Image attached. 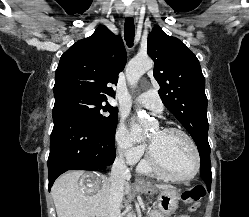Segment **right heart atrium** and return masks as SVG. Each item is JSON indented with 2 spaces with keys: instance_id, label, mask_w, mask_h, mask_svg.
<instances>
[{
  "instance_id": "d8ad5b80",
  "label": "right heart atrium",
  "mask_w": 249,
  "mask_h": 217,
  "mask_svg": "<svg viewBox=\"0 0 249 217\" xmlns=\"http://www.w3.org/2000/svg\"><path fill=\"white\" fill-rule=\"evenodd\" d=\"M114 139L118 153L127 163H136L141 158L144 148L134 145L131 133L124 122L118 125Z\"/></svg>"
}]
</instances>
